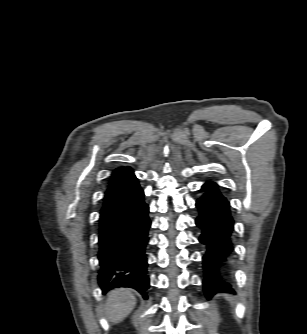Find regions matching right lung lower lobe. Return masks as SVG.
I'll use <instances>...</instances> for the list:
<instances>
[{
    "instance_id": "right-lung-lower-lobe-1",
    "label": "right lung lower lobe",
    "mask_w": 307,
    "mask_h": 334,
    "mask_svg": "<svg viewBox=\"0 0 307 334\" xmlns=\"http://www.w3.org/2000/svg\"><path fill=\"white\" fill-rule=\"evenodd\" d=\"M135 175L107 190L99 219L98 281L104 293L130 287L146 299L149 207Z\"/></svg>"
}]
</instances>
